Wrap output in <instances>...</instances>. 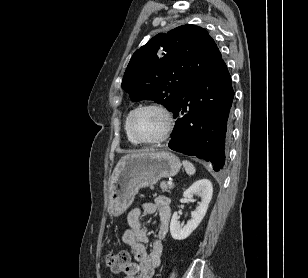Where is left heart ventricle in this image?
Listing matches in <instances>:
<instances>
[{"mask_svg":"<svg viewBox=\"0 0 308 278\" xmlns=\"http://www.w3.org/2000/svg\"><path fill=\"white\" fill-rule=\"evenodd\" d=\"M165 126L164 115L156 109L140 110L132 120L134 132L143 139L158 138L164 132Z\"/></svg>","mask_w":308,"mask_h":278,"instance_id":"1","label":"left heart ventricle"}]
</instances>
